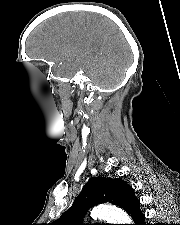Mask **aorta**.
<instances>
[{"label":"aorta","mask_w":180,"mask_h":225,"mask_svg":"<svg viewBox=\"0 0 180 225\" xmlns=\"http://www.w3.org/2000/svg\"><path fill=\"white\" fill-rule=\"evenodd\" d=\"M95 219L105 220L109 224H131V218L120 208L111 205H100L91 211Z\"/></svg>","instance_id":"obj_1"}]
</instances>
